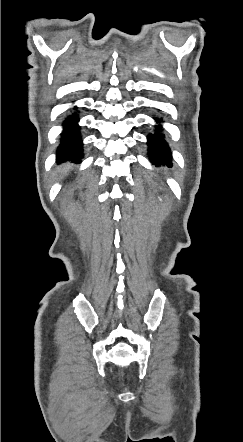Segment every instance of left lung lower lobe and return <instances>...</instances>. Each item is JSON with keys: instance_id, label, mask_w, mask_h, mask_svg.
I'll return each instance as SVG.
<instances>
[{"instance_id": "0a47b994", "label": "left lung lower lobe", "mask_w": 243, "mask_h": 442, "mask_svg": "<svg viewBox=\"0 0 243 442\" xmlns=\"http://www.w3.org/2000/svg\"><path fill=\"white\" fill-rule=\"evenodd\" d=\"M158 122L162 121L161 119L155 118ZM158 130L154 134H150L147 137L148 147H149V158L153 163H171V152L167 142L164 140V135L161 134L162 127L161 125L156 126Z\"/></svg>"}]
</instances>
